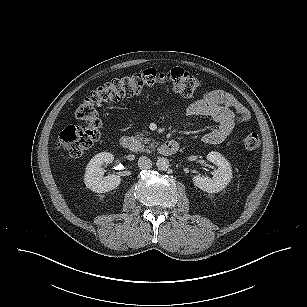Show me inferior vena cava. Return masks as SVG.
<instances>
[{
    "instance_id": "1",
    "label": "inferior vena cava",
    "mask_w": 307,
    "mask_h": 307,
    "mask_svg": "<svg viewBox=\"0 0 307 307\" xmlns=\"http://www.w3.org/2000/svg\"><path fill=\"white\" fill-rule=\"evenodd\" d=\"M138 167L142 170L150 169L152 167V161L146 156H141L138 159Z\"/></svg>"
}]
</instances>
